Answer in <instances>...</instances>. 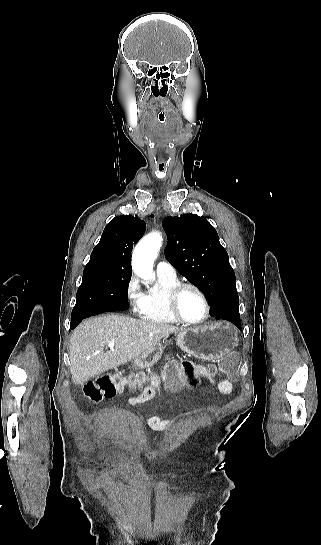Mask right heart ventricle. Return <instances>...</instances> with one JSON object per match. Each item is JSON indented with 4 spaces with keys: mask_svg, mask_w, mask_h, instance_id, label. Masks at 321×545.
I'll use <instances>...</instances> for the list:
<instances>
[{
    "mask_svg": "<svg viewBox=\"0 0 321 545\" xmlns=\"http://www.w3.org/2000/svg\"><path fill=\"white\" fill-rule=\"evenodd\" d=\"M178 283L179 280L177 277L170 278L158 274L156 287L145 295L144 304L140 312V317L143 321L159 325L176 323L166 309L164 293Z\"/></svg>",
    "mask_w": 321,
    "mask_h": 545,
    "instance_id": "right-heart-ventricle-1",
    "label": "right heart ventricle"
}]
</instances>
